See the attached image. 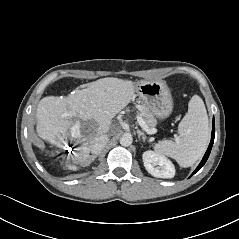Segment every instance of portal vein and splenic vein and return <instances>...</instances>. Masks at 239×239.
<instances>
[{"label": "portal vein and splenic vein", "instance_id": "obj_1", "mask_svg": "<svg viewBox=\"0 0 239 239\" xmlns=\"http://www.w3.org/2000/svg\"><path fill=\"white\" fill-rule=\"evenodd\" d=\"M68 113H65L64 116H68ZM137 122L141 126V128L147 133V134H155L156 130L149 128V126L146 124V122L143 120L141 116H137ZM73 130L75 127L72 128Z\"/></svg>", "mask_w": 239, "mask_h": 239}]
</instances>
